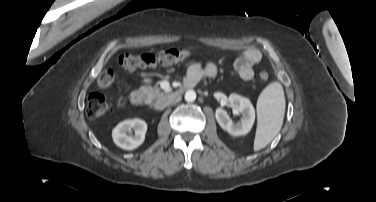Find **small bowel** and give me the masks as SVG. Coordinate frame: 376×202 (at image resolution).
Here are the masks:
<instances>
[{
    "label": "small bowel",
    "instance_id": "c3829d8e",
    "mask_svg": "<svg viewBox=\"0 0 376 202\" xmlns=\"http://www.w3.org/2000/svg\"><path fill=\"white\" fill-rule=\"evenodd\" d=\"M262 59V53L257 48H250L239 56L234 63L236 70L243 80H251L254 76L253 67ZM187 69L184 82L196 84L202 77H212L217 74V67L214 63H208L202 66L196 61H190L185 65Z\"/></svg>",
    "mask_w": 376,
    "mask_h": 202
}]
</instances>
